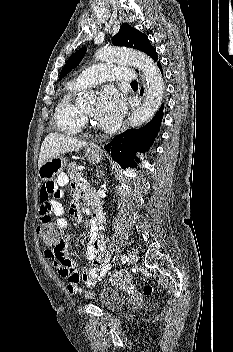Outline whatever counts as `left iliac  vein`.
<instances>
[{
  "label": "left iliac vein",
  "instance_id": "obj_1",
  "mask_svg": "<svg viewBox=\"0 0 233 352\" xmlns=\"http://www.w3.org/2000/svg\"><path fill=\"white\" fill-rule=\"evenodd\" d=\"M128 258H129L128 261L130 264L136 263V256L134 254H130Z\"/></svg>",
  "mask_w": 233,
  "mask_h": 352
}]
</instances>
